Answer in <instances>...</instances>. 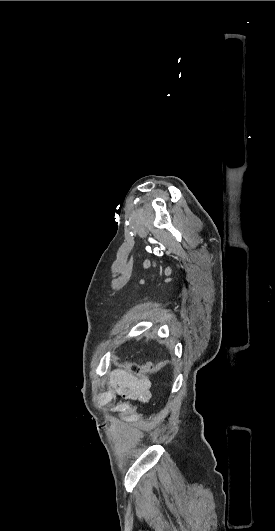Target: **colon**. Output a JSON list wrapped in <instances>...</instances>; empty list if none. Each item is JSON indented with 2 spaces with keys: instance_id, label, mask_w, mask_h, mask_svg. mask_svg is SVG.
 Returning a JSON list of instances; mask_svg holds the SVG:
<instances>
[{
  "instance_id": "5ec220e1",
  "label": "colon",
  "mask_w": 275,
  "mask_h": 531,
  "mask_svg": "<svg viewBox=\"0 0 275 531\" xmlns=\"http://www.w3.org/2000/svg\"><path fill=\"white\" fill-rule=\"evenodd\" d=\"M117 366L122 367L130 373L137 375H146L155 373L162 370L167 366L165 361L147 362L146 364H138L136 362L121 361L119 359L114 360Z\"/></svg>"
}]
</instances>
